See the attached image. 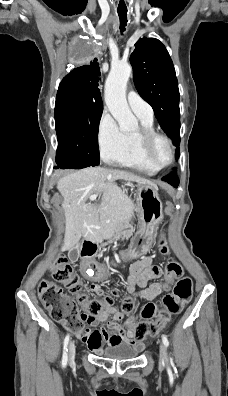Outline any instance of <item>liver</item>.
I'll use <instances>...</instances> for the list:
<instances>
[{
	"mask_svg": "<svg viewBox=\"0 0 228 396\" xmlns=\"http://www.w3.org/2000/svg\"><path fill=\"white\" fill-rule=\"evenodd\" d=\"M119 179L155 185L129 172L103 167L77 170L58 181L57 189L63 197L66 248L77 245L81 238L100 242L111 234L112 220L122 221L132 213L134 204L116 184ZM92 194L102 196L101 213L94 204L87 203Z\"/></svg>",
	"mask_w": 228,
	"mask_h": 396,
	"instance_id": "1",
	"label": "liver"
}]
</instances>
